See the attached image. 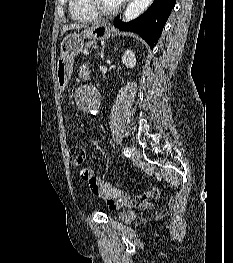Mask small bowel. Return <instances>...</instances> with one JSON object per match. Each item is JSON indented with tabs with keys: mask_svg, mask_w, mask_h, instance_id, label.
<instances>
[{
	"mask_svg": "<svg viewBox=\"0 0 233 263\" xmlns=\"http://www.w3.org/2000/svg\"><path fill=\"white\" fill-rule=\"evenodd\" d=\"M85 71H89V68L82 66L79 70L80 76ZM84 171H87L88 176L84 175ZM80 175L87 181L91 192L94 195L105 198L111 209H118L123 205V203L119 201V192L111 184L97 178L91 167L81 169Z\"/></svg>",
	"mask_w": 233,
	"mask_h": 263,
	"instance_id": "small-bowel-1",
	"label": "small bowel"
}]
</instances>
